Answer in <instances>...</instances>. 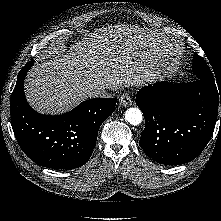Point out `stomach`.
I'll list each match as a JSON object with an SVG mask.
<instances>
[{
    "mask_svg": "<svg viewBox=\"0 0 221 221\" xmlns=\"http://www.w3.org/2000/svg\"><path fill=\"white\" fill-rule=\"evenodd\" d=\"M163 46H164V48H165L167 51H169V52H171V50H173V47H171V45H168V44L165 43V42H163Z\"/></svg>",
    "mask_w": 221,
    "mask_h": 221,
    "instance_id": "obj_1",
    "label": "stomach"
}]
</instances>
